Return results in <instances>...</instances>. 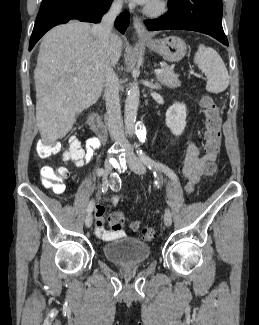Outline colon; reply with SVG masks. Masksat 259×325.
I'll return each mask as SVG.
<instances>
[{
  "label": "colon",
  "instance_id": "5ec220e1",
  "mask_svg": "<svg viewBox=\"0 0 259 325\" xmlns=\"http://www.w3.org/2000/svg\"><path fill=\"white\" fill-rule=\"evenodd\" d=\"M200 106L205 116L204 142L208 152H216L219 149L221 140V119L218 106L215 100L209 95H203L200 99ZM61 149L58 141L45 142L39 141L36 150L40 157L47 158L57 153ZM82 155V148L78 140H71L65 157L74 161ZM71 168L69 166L49 167L41 171V181L44 187L60 193L64 190L63 181L69 176ZM216 172L214 164H208L205 168V174L212 176ZM108 224L111 231L119 232L124 225V215L121 212L113 213ZM131 229L135 232L140 231L144 241H151L155 237V230L152 227H143L139 221L131 223Z\"/></svg>",
  "mask_w": 259,
  "mask_h": 325
}]
</instances>
